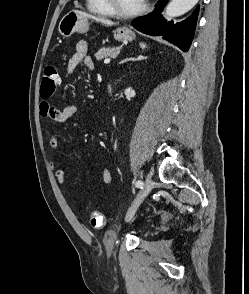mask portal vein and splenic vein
Wrapping results in <instances>:
<instances>
[{
  "label": "portal vein and splenic vein",
  "instance_id": "portal-vein-and-splenic-vein-1",
  "mask_svg": "<svg viewBox=\"0 0 249 294\" xmlns=\"http://www.w3.org/2000/svg\"><path fill=\"white\" fill-rule=\"evenodd\" d=\"M110 61H111V59H105V60H104V63H105V64H108V63H110Z\"/></svg>",
  "mask_w": 249,
  "mask_h": 294
}]
</instances>
